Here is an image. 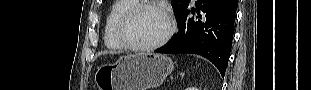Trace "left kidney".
<instances>
[{
	"instance_id": "left-kidney-1",
	"label": "left kidney",
	"mask_w": 311,
	"mask_h": 90,
	"mask_svg": "<svg viewBox=\"0 0 311 90\" xmlns=\"http://www.w3.org/2000/svg\"><path fill=\"white\" fill-rule=\"evenodd\" d=\"M187 90H197L195 87L187 88Z\"/></svg>"
}]
</instances>
